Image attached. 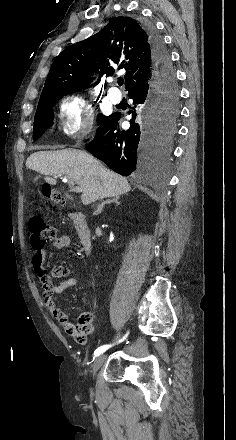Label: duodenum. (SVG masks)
<instances>
[{
	"instance_id": "duodenum-1",
	"label": "duodenum",
	"mask_w": 236,
	"mask_h": 440,
	"mask_svg": "<svg viewBox=\"0 0 236 440\" xmlns=\"http://www.w3.org/2000/svg\"><path fill=\"white\" fill-rule=\"evenodd\" d=\"M70 218L76 229L77 236L86 254L92 251V237L87 225L85 215L82 212H72L70 213Z\"/></svg>"
}]
</instances>
